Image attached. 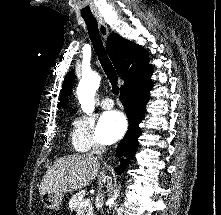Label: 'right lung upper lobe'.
<instances>
[{
	"instance_id": "cb5924a9",
	"label": "right lung upper lobe",
	"mask_w": 221,
	"mask_h": 215,
	"mask_svg": "<svg viewBox=\"0 0 221 215\" xmlns=\"http://www.w3.org/2000/svg\"><path fill=\"white\" fill-rule=\"evenodd\" d=\"M106 48L119 77L124 80L121 90L137 84L152 74L153 68L149 64L148 52L141 46L122 38L116 33H111ZM73 84L74 74L68 72L63 81L62 94L58 103L59 108L67 105L66 96L69 95Z\"/></svg>"
}]
</instances>
